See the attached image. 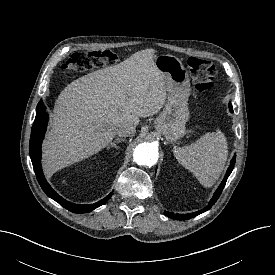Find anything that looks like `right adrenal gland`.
Masks as SVG:
<instances>
[{"label": "right adrenal gland", "instance_id": "right-adrenal-gland-1", "mask_svg": "<svg viewBox=\"0 0 275 275\" xmlns=\"http://www.w3.org/2000/svg\"><path fill=\"white\" fill-rule=\"evenodd\" d=\"M122 141H124V139L116 138L107 148L109 149V148L113 147V148L117 149L118 148L117 144L122 142Z\"/></svg>", "mask_w": 275, "mask_h": 275}]
</instances>
